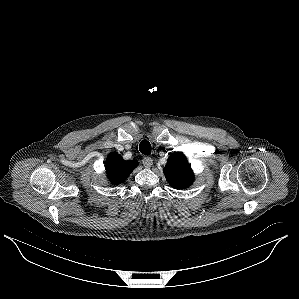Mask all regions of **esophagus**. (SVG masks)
<instances>
[{"instance_id": "obj_1", "label": "esophagus", "mask_w": 299, "mask_h": 299, "mask_svg": "<svg viewBox=\"0 0 299 299\" xmlns=\"http://www.w3.org/2000/svg\"><path fill=\"white\" fill-rule=\"evenodd\" d=\"M142 162H143V165L146 168H150L152 166V164H153V160L150 157H144L143 160H142Z\"/></svg>"}]
</instances>
